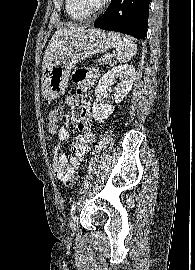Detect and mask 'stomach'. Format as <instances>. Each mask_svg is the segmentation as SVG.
I'll use <instances>...</instances> for the list:
<instances>
[{"mask_svg": "<svg viewBox=\"0 0 195 270\" xmlns=\"http://www.w3.org/2000/svg\"><path fill=\"white\" fill-rule=\"evenodd\" d=\"M111 44L108 34L95 28L65 37L57 57L43 72L42 95L49 100L62 96L68 87L71 69L81 60L105 52Z\"/></svg>", "mask_w": 195, "mask_h": 270, "instance_id": "obj_1", "label": "stomach"}]
</instances>
